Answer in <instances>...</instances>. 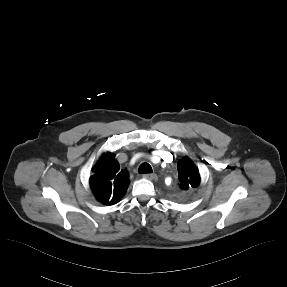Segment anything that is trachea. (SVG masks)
<instances>
[{"instance_id":"3493384b","label":"trachea","mask_w":287,"mask_h":287,"mask_svg":"<svg viewBox=\"0 0 287 287\" xmlns=\"http://www.w3.org/2000/svg\"><path fill=\"white\" fill-rule=\"evenodd\" d=\"M152 167L150 166V164L148 163H142L140 166H139V169H138V173L139 174H147V173H152Z\"/></svg>"}]
</instances>
